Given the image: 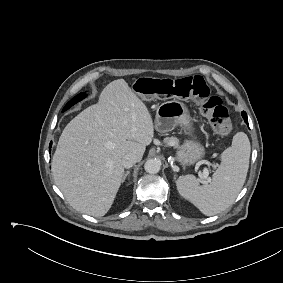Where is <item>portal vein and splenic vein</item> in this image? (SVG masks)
I'll use <instances>...</instances> for the list:
<instances>
[{"mask_svg": "<svg viewBox=\"0 0 283 283\" xmlns=\"http://www.w3.org/2000/svg\"><path fill=\"white\" fill-rule=\"evenodd\" d=\"M209 176V171H208V169H204L203 170V172L200 174V177L202 178V179H205V180H207V181H210V178L208 177Z\"/></svg>", "mask_w": 283, "mask_h": 283, "instance_id": "obj_1", "label": "portal vein and splenic vein"}]
</instances>
